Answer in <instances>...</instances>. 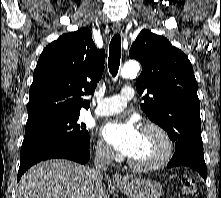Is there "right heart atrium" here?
<instances>
[{"mask_svg":"<svg viewBox=\"0 0 221 198\" xmlns=\"http://www.w3.org/2000/svg\"><path fill=\"white\" fill-rule=\"evenodd\" d=\"M95 154L103 161H111L115 157L112 149L102 140L97 141L95 145Z\"/></svg>","mask_w":221,"mask_h":198,"instance_id":"d8ad5b80","label":"right heart atrium"}]
</instances>
